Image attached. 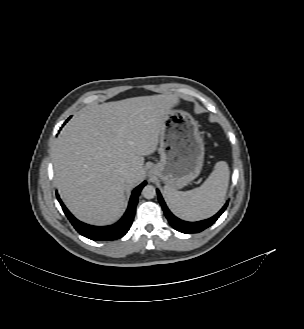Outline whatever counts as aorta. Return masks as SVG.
Here are the masks:
<instances>
[{
  "label": "aorta",
  "mask_w": 304,
  "mask_h": 329,
  "mask_svg": "<svg viewBox=\"0 0 304 329\" xmlns=\"http://www.w3.org/2000/svg\"><path fill=\"white\" fill-rule=\"evenodd\" d=\"M142 195L146 199H152L156 196V189L152 185H146L142 190Z\"/></svg>",
  "instance_id": "obj_1"
}]
</instances>
